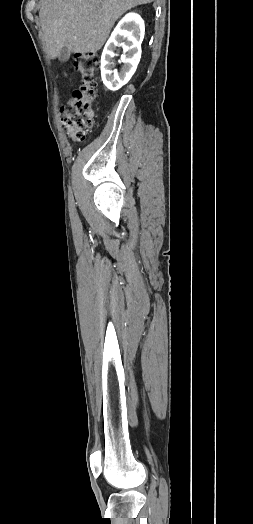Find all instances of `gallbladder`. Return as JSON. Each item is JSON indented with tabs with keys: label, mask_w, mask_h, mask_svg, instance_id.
<instances>
[{
	"label": "gallbladder",
	"mask_w": 253,
	"mask_h": 524,
	"mask_svg": "<svg viewBox=\"0 0 253 524\" xmlns=\"http://www.w3.org/2000/svg\"><path fill=\"white\" fill-rule=\"evenodd\" d=\"M71 52L67 47H63L61 52L58 55V60L62 63L67 62L70 58Z\"/></svg>",
	"instance_id": "gallbladder-1"
}]
</instances>
